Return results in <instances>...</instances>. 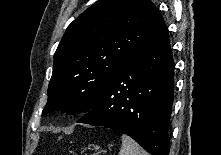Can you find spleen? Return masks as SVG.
I'll use <instances>...</instances> for the list:
<instances>
[{
    "label": "spleen",
    "instance_id": "obj_1",
    "mask_svg": "<svg viewBox=\"0 0 221 155\" xmlns=\"http://www.w3.org/2000/svg\"><path fill=\"white\" fill-rule=\"evenodd\" d=\"M122 146L118 155H148L132 138L121 136Z\"/></svg>",
    "mask_w": 221,
    "mask_h": 155
}]
</instances>
